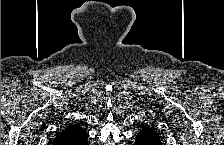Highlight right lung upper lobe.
Listing matches in <instances>:
<instances>
[{"label": "right lung upper lobe", "instance_id": "right-lung-upper-lobe-1", "mask_svg": "<svg viewBox=\"0 0 224 145\" xmlns=\"http://www.w3.org/2000/svg\"><path fill=\"white\" fill-rule=\"evenodd\" d=\"M88 134L79 125H71L56 135L53 145H79V142L86 140Z\"/></svg>", "mask_w": 224, "mask_h": 145}]
</instances>
